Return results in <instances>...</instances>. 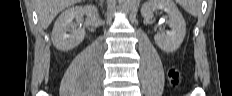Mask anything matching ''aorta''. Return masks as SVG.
I'll return each instance as SVG.
<instances>
[{
    "label": "aorta",
    "instance_id": "aorta-1",
    "mask_svg": "<svg viewBox=\"0 0 232 96\" xmlns=\"http://www.w3.org/2000/svg\"><path fill=\"white\" fill-rule=\"evenodd\" d=\"M119 4L124 10L129 11L133 6V0H119Z\"/></svg>",
    "mask_w": 232,
    "mask_h": 96
}]
</instances>
